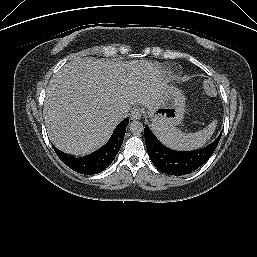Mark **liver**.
I'll list each match as a JSON object with an SVG mask.
<instances>
[{
    "label": "liver",
    "mask_w": 257,
    "mask_h": 257,
    "mask_svg": "<svg viewBox=\"0 0 257 257\" xmlns=\"http://www.w3.org/2000/svg\"><path fill=\"white\" fill-rule=\"evenodd\" d=\"M166 85L162 72L150 61L85 57L68 62L46 90L49 138L64 153H90L109 139L121 121L118 111L138 104L150 108Z\"/></svg>",
    "instance_id": "6515ba94"
}]
</instances>
